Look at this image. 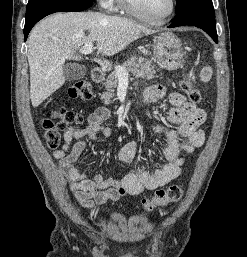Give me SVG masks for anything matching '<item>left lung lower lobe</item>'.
Instances as JSON below:
<instances>
[{"label":"left lung lower lobe","mask_w":247,"mask_h":257,"mask_svg":"<svg viewBox=\"0 0 247 257\" xmlns=\"http://www.w3.org/2000/svg\"><path fill=\"white\" fill-rule=\"evenodd\" d=\"M184 25L196 26L203 29L215 43H218L213 5L196 4L187 7L176 13L173 23L168 27L172 28Z\"/></svg>","instance_id":"0a47b994"}]
</instances>
